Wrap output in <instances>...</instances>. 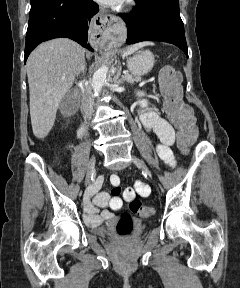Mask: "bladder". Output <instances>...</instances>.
<instances>
[{
	"label": "bladder",
	"mask_w": 240,
	"mask_h": 288,
	"mask_svg": "<svg viewBox=\"0 0 240 288\" xmlns=\"http://www.w3.org/2000/svg\"><path fill=\"white\" fill-rule=\"evenodd\" d=\"M98 233L102 234V235H106L107 234V232L104 229L99 230Z\"/></svg>",
	"instance_id": "bladder-1"
}]
</instances>
